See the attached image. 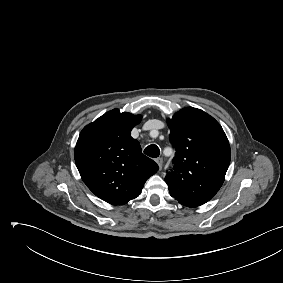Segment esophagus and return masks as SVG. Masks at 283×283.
Instances as JSON below:
<instances>
[{"mask_svg":"<svg viewBox=\"0 0 283 283\" xmlns=\"http://www.w3.org/2000/svg\"><path fill=\"white\" fill-rule=\"evenodd\" d=\"M155 161L158 164L159 168L161 169L162 165H163V159L158 157V158L155 159Z\"/></svg>","mask_w":283,"mask_h":283,"instance_id":"1","label":"esophagus"}]
</instances>
